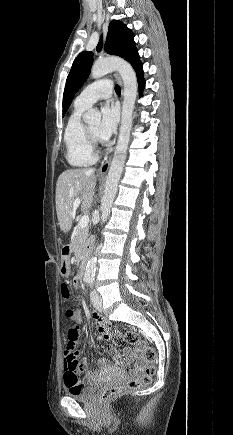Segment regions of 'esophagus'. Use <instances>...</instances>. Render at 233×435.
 Listing matches in <instances>:
<instances>
[{
	"mask_svg": "<svg viewBox=\"0 0 233 435\" xmlns=\"http://www.w3.org/2000/svg\"><path fill=\"white\" fill-rule=\"evenodd\" d=\"M115 76L121 82V78L117 74H115ZM110 164H111V157H109L104 163H102V165L98 169V174L105 175L110 168Z\"/></svg>",
	"mask_w": 233,
	"mask_h": 435,
	"instance_id": "34e87169",
	"label": "esophagus"
}]
</instances>
